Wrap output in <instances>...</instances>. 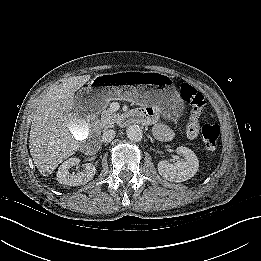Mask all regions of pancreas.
<instances>
[{"label":"pancreas","mask_w":261,"mask_h":261,"mask_svg":"<svg viewBox=\"0 0 261 261\" xmlns=\"http://www.w3.org/2000/svg\"><path fill=\"white\" fill-rule=\"evenodd\" d=\"M119 114L114 113L111 109L103 110L100 120L97 121L95 127L99 130H106L114 127V124L118 121Z\"/></svg>","instance_id":"1"}]
</instances>
